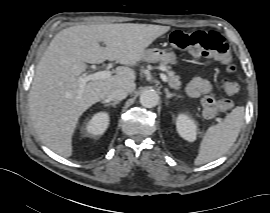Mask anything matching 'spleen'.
<instances>
[{
	"instance_id": "spleen-1",
	"label": "spleen",
	"mask_w": 270,
	"mask_h": 213,
	"mask_svg": "<svg viewBox=\"0 0 270 213\" xmlns=\"http://www.w3.org/2000/svg\"><path fill=\"white\" fill-rule=\"evenodd\" d=\"M244 115V107L239 106L234 108L223 121L210 126L202 138L194 163L202 165L225 154L239 135Z\"/></svg>"
}]
</instances>
